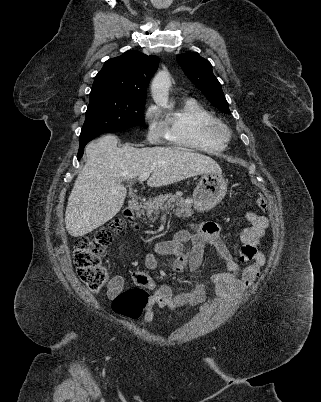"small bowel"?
<instances>
[{"mask_svg": "<svg viewBox=\"0 0 321 402\" xmlns=\"http://www.w3.org/2000/svg\"><path fill=\"white\" fill-rule=\"evenodd\" d=\"M247 220L248 226L244 227L239 234L242 245L238 258L247 263L244 267L240 266L239 261L223 241L220 226L213 222L191 226L175 233L169 241L157 242L144 258L145 267L156 269L159 265V257L172 256L174 257L173 271L182 273L189 269L197 273L204 262L208 248H211L226 267V272L212 276L216 288V303L220 306H228L242 298L245 290L258 278L266 262L259 244L269 227V221L267 217L254 212L247 215ZM184 244L190 245L186 252L183 249ZM132 277L151 291L143 316L146 324L154 320L155 308H165L181 315L183 306L200 307L206 301V288L199 282L194 288L175 294L167 284L155 285L142 270L134 271ZM124 285L125 280L121 275L113 276L108 286V297L115 298L121 293Z\"/></svg>", "mask_w": 321, "mask_h": 402, "instance_id": "small-bowel-1", "label": "small bowel"}]
</instances>
